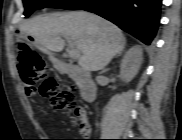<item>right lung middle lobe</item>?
Returning <instances> with one entry per match:
<instances>
[{"mask_svg":"<svg viewBox=\"0 0 182 140\" xmlns=\"http://www.w3.org/2000/svg\"><path fill=\"white\" fill-rule=\"evenodd\" d=\"M94 0H23L25 17H28L36 9H42L45 7L61 8L69 10L81 9Z\"/></svg>","mask_w":182,"mask_h":140,"instance_id":"dd1d6c3e","label":"right lung middle lobe"}]
</instances>
